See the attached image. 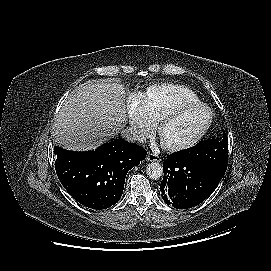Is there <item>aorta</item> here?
<instances>
[{"label":"aorta","instance_id":"obj_1","mask_svg":"<svg viewBox=\"0 0 271 271\" xmlns=\"http://www.w3.org/2000/svg\"><path fill=\"white\" fill-rule=\"evenodd\" d=\"M146 173L149 178L157 180L163 175V167L157 162L149 163Z\"/></svg>","mask_w":271,"mask_h":271}]
</instances>
